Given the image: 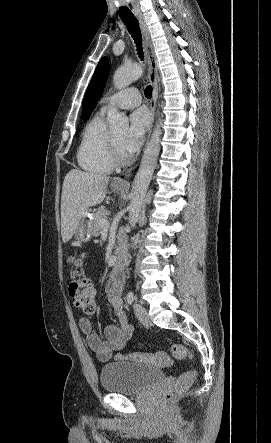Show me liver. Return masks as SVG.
<instances>
[{"mask_svg": "<svg viewBox=\"0 0 271 443\" xmlns=\"http://www.w3.org/2000/svg\"><path fill=\"white\" fill-rule=\"evenodd\" d=\"M108 176L70 170L63 182L61 196V235L64 243L73 237L77 225L91 206L106 198Z\"/></svg>", "mask_w": 271, "mask_h": 443, "instance_id": "6515ba94", "label": "liver"}]
</instances>
